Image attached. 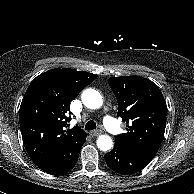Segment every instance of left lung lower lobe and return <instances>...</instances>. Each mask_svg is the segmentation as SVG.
Returning a JSON list of instances; mask_svg holds the SVG:
<instances>
[{"mask_svg":"<svg viewBox=\"0 0 194 194\" xmlns=\"http://www.w3.org/2000/svg\"><path fill=\"white\" fill-rule=\"evenodd\" d=\"M105 161L113 171L132 175L146 167L151 159L115 144L113 150L105 154Z\"/></svg>","mask_w":194,"mask_h":194,"instance_id":"1","label":"left lung lower lobe"}]
</instances>
